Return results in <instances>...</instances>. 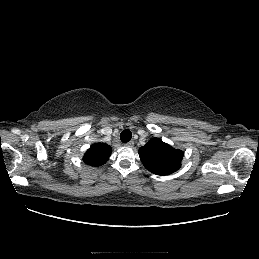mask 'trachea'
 <instances>
[{
  "mask_svg": "<svg viewBox=\"0 0 259 259\" xmlns=\"http://www.w3.org/2000/svg\"><path fill=\"white\" fill-rule=\"evenodd\" d=\"M132 138V133L131 131L129 130H123L120 134V140L123 142V143H127L131 140Z\"/></svg>",
  "mask_w": 259,
  "mask_h": 259,
  "instance_id": "3493384b",
  "label": "trachea"
}]
</instances>
